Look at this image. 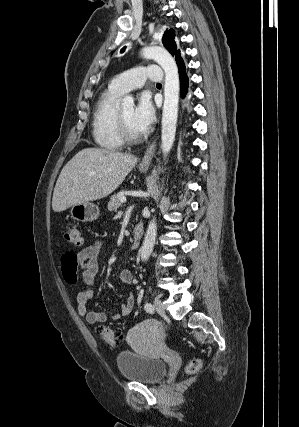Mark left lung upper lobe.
<instances>
[{"label":"left lung upper lobe","mask_w":299,"mask_h":427,"mask_svg":"<svg viewBox=\"0 0 299 427\" xmlns=\"http://www.w3.org/2000/svg\"><path fill=\"white\" fill-rule=\"evenodd\" d=\"M174 37H175V32L173 29H170L165 31L162 38L163 45L172 55H175L177 52V46H176Z\"/></svg>","instance_id":"1"}]
</instances>
